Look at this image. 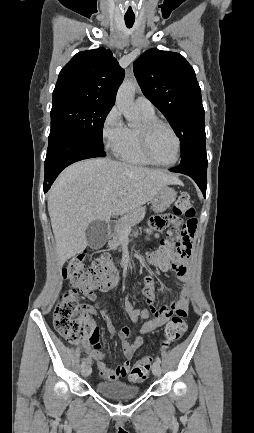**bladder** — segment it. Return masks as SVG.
Here are the masks:
<instances>
[{"label":"bladder","mask_w":254,"mask_h":433,"mask_svg":"<svg viewBox=\"0 0 254 433\" xmlns=\"http://www.w3.org/2000/svg\"><path fill=\"white\" fill-rule=\"evenodd\" d=\"M96 390L100 394L113 399L134 398L141 393L140 387L122 381H99L96 383Z\"/></svg>","instance_id":"1"}]
</instances>
